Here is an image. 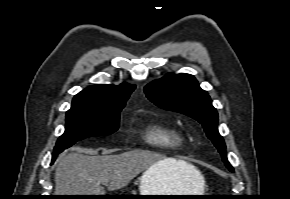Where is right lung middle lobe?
<instances>
[{"label": "right lung middle lobe", "instance_id": "right-lung-middle-lobe-1", "mask_svg": "<svg viewBox=\"0 0 290 199\" xmlns=\"http://www.w3.org/2000/svg\"><path fill=\"white\" fill-rule=\"evenodd\" d=\"M119 112H92L68 110L65 132L59 137L53 151V158L75 142L94 136L110 135L118 130Z\"/></svg>", "mask_w": 290, "mask_h": 199}]
</instances>
